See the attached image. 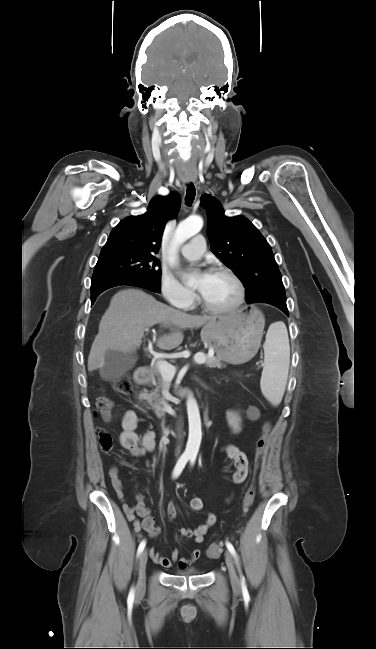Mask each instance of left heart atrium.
Instances as JSON below:
<instances>
[{
  "instance_id": "left-heart-atrium-1",
  "label": "left heart atrium",
  "mask_w": 376,
  "mask_h": 649,
  "mask_svg": "<svg viewBox=\"0 0 376 649\" xmlns=\"http://www.w3.org/2000/svg\"><path fill=\"white\" fill-rule=\"evenodd\" d=\"M210 277H211V273L209 271L205 270V271L200 272V274H199L200 285L201 286L205 285L208 282V280L210 279Z\"/></svg>"
}]
</instances>
